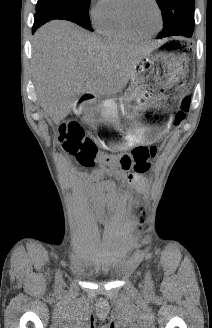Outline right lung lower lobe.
<instances>
[{"mask_svg": "<svg viewBox=\"0 0 212 328\" xmlns=\"http://www.w3.org/2000/svg\"><path fill=\"white\" fill-rule=\"evenodd\" d=\"M46 22L47 21L44 19L34 18V25L32 27V33H34L41 25H43Z\"/></svg>", "mask_w": 212, "mask_h": 328, "instance_id": "1", "label": "right lung lower lobe"}]
</instances>
